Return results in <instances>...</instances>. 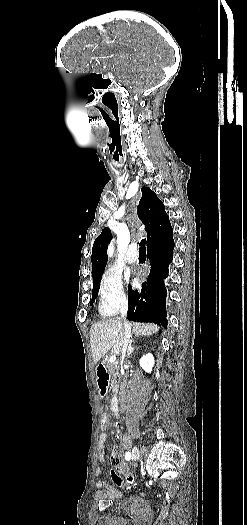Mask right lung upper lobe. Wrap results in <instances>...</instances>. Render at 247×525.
<instances>
[{
  "mask_svg": "<svg viewBox=\"0 0 247 525\" xmlns=\"http://www.w3.org/2000/svg\"><path fill=\"white\" fill-rule=\"evenodd\" d=\"M142 198L138 206V215L145 224L147 239L166 227L170 222L165 212L164 204L156 194L148 187H142ZM111 234L108 228H104L102 233L96 238L92 248V276L103 274L107 256L106 247Z\"/></svg>",
  "mask_w": 247,
  "mask_h": 525,
  "instance_id": "obj_1",
  "label": "right lung upper lobe"
}]
</instances>
